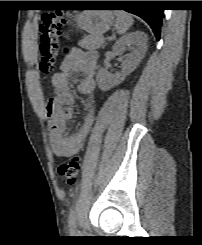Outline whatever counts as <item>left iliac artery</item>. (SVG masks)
Listing matches in <instances>:
<instances>
[{
    "label": "left iliac artery",
    "instance_id": "1",
    "mask_svg": "<svg viewBox=\"0 0 202 245\" xmlns=\"http://www.w3.org/2000/svg\"><path fill=\"white\" fill-rule=\"evenodd\" d=\"M75 220H76L75 210L74 207H71L68 215V224L71 232L75 231V227H76Z\"/></svg>",
    "mask_w": 202,
    "mask_h": 245
}]
</instances>
